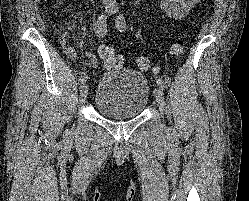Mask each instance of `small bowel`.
Here are the masks:
<instances>
[{
	"mask_svg": "<svg viewBox=\"0 0 249 201\" xmlns=\"http://www.w3.org/2000/svg\"><path fill=\"white\" fill-rule=\"evenodd\" d=\"M202 0H161V9L172 19L183 20L190 10L199 5ZM99 36L98 32L96 31ZM59 42L64 49L69 59H74L75 51L69 45V33L65 32L59 39ZM81 56L86 59L91 65L95 66L96 57L91 52H83Z\"/></svg>",
	"mask_w": 249,
	"mask_h": 201,
	"instance_id": "obj_1",
	"label": "small bowel"
}]
</instances>
